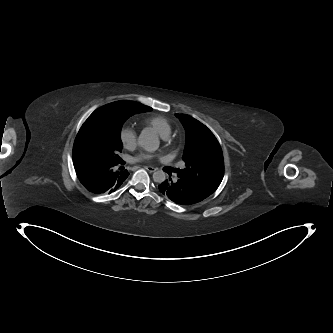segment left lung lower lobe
I'll use <instances>...</instances> for the list:
<instances>
[{"label": "left lung lower lobe", "mask_w": 333, "mask_h": 333, "mask_svg": "<svg viewBox=\"0 0 333 333\" xmlns=\"http://www.w3.org/2000/svg\"><path fill=\"white\" fill-rule=\"evenodd\" d=\"M159 191L162 195L179 205H191L207 198L193 186L176 176H169V178L163 181L159 185Z\"/></svg>", "instance_id": "obj_1"}]
</instances>
